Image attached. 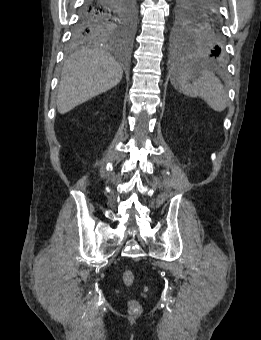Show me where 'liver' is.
I'll return each instance as SVG.
<instances>
[{
	"instance_id": "obj_1",
	"label": "liver",
	"mask_w": 261,
	"mask_h": 340,
	"mask_svg": "<svg viewBox=\"0 0 261 340\" xmlns=\"http://www.w3.org/2000/svg\"><path fill=\"white\" fill-rule=\"evenodd\" d=\"M120 64L108 52L81 49L65 62L58 88L57 109L65 114L74 107L115 87L122 79Z\"/></svg>"
}]
</instances>
